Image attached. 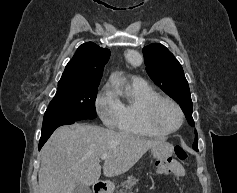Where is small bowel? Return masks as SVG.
<instances>
[{"mask_svg": "<svg viewBox=\"0 0 237 193\" xmlns=\"http://www.w3.org/2000/svg\"><path fill=\"white\" fill-rule=\"evenodd\" d=\"M172 172L177 180L181 181L185 178V171L183 167L177 162L173 163Z\"/></svg>", "mask_w": 237, "mask_h": 193, "instance_id": "small-bowel-1", "label": "small bowel"}]
</instances>
